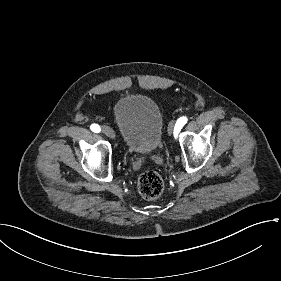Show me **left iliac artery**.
I'll list each match as a JSON object with an SVG mask.
<instances>
[{"label":"left iliac artery","mask_w":281,"mask_h":281,"mask_svg":"<svg viewBox=\"0 0 281 281\" xmlns=\"http://www.w3.org/2000/svg\"><path fill=\"white\" fill-rule=\"evenodd\" d=\"M187 123V118L186 117H181L177 120L175 129H174V135L177 136L178 132L180 129Z\"/></svg>","instance_id":"obj_1"}]
</instances>
